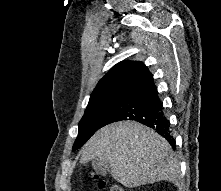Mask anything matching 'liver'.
Wrapping results in <instances>:
<instances>
[{
  "label": "liver",
  "mask_w": 221,
  "mask_h": 191,
  "mask_svg": "<svg viewBox=\"0 0 221 191\" xmlns=\"http://www.w3.org/2000/svg\"><path fill=\"white\" fill-rule=\"evenodd\" d=\"M95 158L106 161L112 177L127 188L161 180L180 182V166L168 142L135 121L98 130L82 149L80 163Z\"/></svg>",
  "instance_id": "1"
}]
</instances>
